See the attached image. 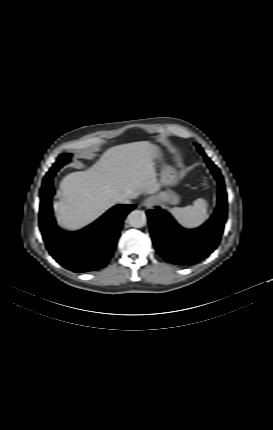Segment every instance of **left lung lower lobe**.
<instances>
[{"instance_id": "1", "label": "left lung lower lobe", "mask_w": 273, "mask_h": 430, "mask_svg": "<svg viewBox=\"0 0 273 430\" xmlns=\"http://www.w3.org/2000/svg\"><path fill=\"white\" fill-rule=\"evenodd\" d=\"M205 160L219 184V195L214 214L204 225L187 230L180 227L171 215L160 207L147 211L154 246L168 263H199L208 257L220 242L227 219V194L219 169L209 158Z\"/></svg>"}]
</instances>
